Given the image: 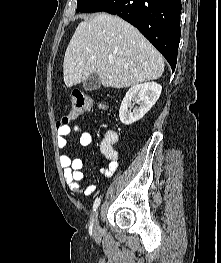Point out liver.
Listing matches in <instances>:
<instances>
[{"label":"liver","instance_id":"1","mask_svg":"<svg viewBox=\"0 0 221 263\" xmlns=\"http://www.w3.org/2000/svg\"><path fill=\"white\" fill-rule=\"evenodd\" d=\"M163 71L164 59L153 45L135 27L107 13L78 25L63 62L69 88L93 73L105 87L124 88L156 80Z\"/></svg>","mask_w":221,"mask_h":263}]
</instances>
